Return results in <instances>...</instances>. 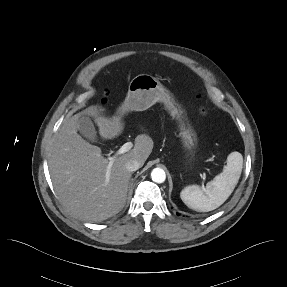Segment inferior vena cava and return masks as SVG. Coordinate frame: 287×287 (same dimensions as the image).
<instances>
[{"label": "inferior vena cava", "instance_id": "1", "mask_svg": "<svg viewBox=\"0 0 287 287\" xmlns=\"http://www.w3.org/2000/svg\"><path fill=\"white\" fill-rule=\"evenodd\" d=\"M141 167V163L137 160L130 159L125 163V168L128 172H133Z\"/></svg>", "mask_w": 287, "mask_h": 287}]
</instances>
